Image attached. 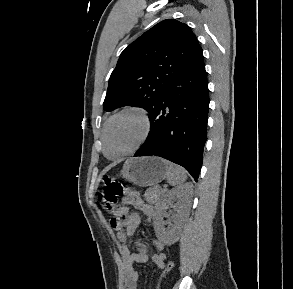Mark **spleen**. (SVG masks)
Listing matches in <instances>:
<instances>
[{
	"label": "spleen",
	"instance_id": "obj_1",
	"mask_svg": "<svg viewBox=\"0 0 293 289\" xmlns=\"http://www.w3.org/2000/svg\"><path fill=\"white\" fill-rule=\"evenodd\" d=\"M166 167V178L170 185H181L187 180L185 170L172 162L163 160Z\"/></svg>",
	"mask_w": 293,
	"mask_h": 289
}]
</instances>
